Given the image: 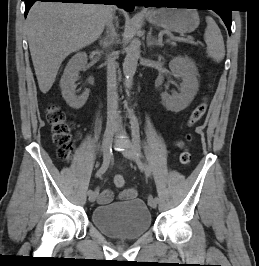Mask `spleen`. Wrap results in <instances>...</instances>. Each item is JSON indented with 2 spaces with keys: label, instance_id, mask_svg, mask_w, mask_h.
I'll list each match as a JSON object with an SVG mask.
<instances>
[{
  "label": "spleen",
  "instance_id": "obj_1",
  "mask_svg": "<svg viewBox=\"0 0 259 266\" xmlns=\"http://www.w3.org/2000/svg\"><path fill=\"white\" fill-rule=\"evenodd\" d=\"M207 27L204 40L207 44V54L215 62H221L225 57V45L221 31L212 17H206Z\"/></svg>",
  "mask_w": 259,
  "mask_h": 266
}]
</instances>
